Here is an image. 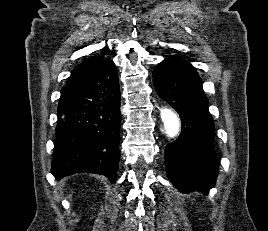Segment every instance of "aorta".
<instances>
[{"mask_svg":"<svg viewBox=\"0 0 268 231\" xmlns=\"http://www.w3.org/2000/svg\"><path fill=\"white\" fill-rule=\"evenodd\" d=\"M160 116L166 135L169 138L176 137L180 132V120L177 114L171 109L161 108Z\"/></svg>","mask_w":268,"mask_h":231,"instance_id":"1","label":"aorta"}]
</instances>
